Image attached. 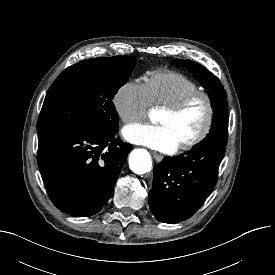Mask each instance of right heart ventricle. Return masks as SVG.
<instances>
[{"label":"right heart ventricle","mask_w":275,"mask_h":275,"mask_svg":"<svg viewBox=\"0 0 275 275\" xmlns=\"http://www.w3.org/2000/svg\"><path fill=\"white\" fill-rule=\"evenodd\" d=\"M144 85L151 105H171L185 95L200 90L199 85L184 74L175 71H155L145 78Z\"/></svg>","instance_id":"obj_1"}]
</instances>
